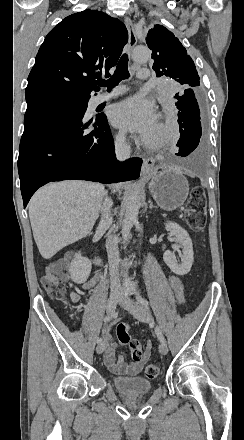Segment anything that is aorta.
<instances>
[{"mask_svg":"<svg viewBox=\"0 0 244 440\" xmlns=\"http://www.w3.org/2000/svg\"><path fill=\"white\" fill-rule=\"evenodd\" d=\"M151 57V52L148 48L138 46L134 48L132 53V59L136 62H145ZM141 207V192L140 189L135 188L128 196L125 217L122 224V237L124 243H126L130 231L137 221L139 209Z\"/></svg>","mask_w":244,"mask_h":440,"instance_id":"1","label":"aorta"}]
</instances>
